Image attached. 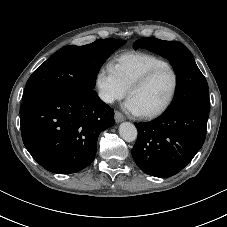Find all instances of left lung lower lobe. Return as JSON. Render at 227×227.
Returning <instances> with one entry per match:
<instances>
[{
    "instance_id": "0a47b994",
    "label": "left lung lower lobe",
    "mask_w": 227,
    "mask_h": 227,
    "mask_svg": "<svg viewBox=\"0 0 227 227\" xmlns=\"http://www.w3.org/2000/svg\"><path fill=\"white\" fill-rule=\"evenodd\" d=\"M208 112L181 109L163 113L147 122L135 123L138 138L132 156L151 176L167 178L181 171L202 147Z\"/></svg>"
}]
</instances>
